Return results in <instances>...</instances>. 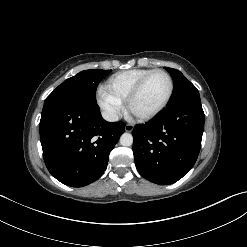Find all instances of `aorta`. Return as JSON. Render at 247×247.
<instances>
[{"mask_svg":"<svg viewBox=\"0 0 247 247\" xmlns=\"http://www.w3.org/2000/svg\"><path fill=\"white\" fill-rule=\"evenodd\" d=\"M120 144L123 146H131L133 144V136L130 133H123L120 137Z\"/></svg>","mask_w":247,"mask_h":247,"instance_id":"aorta-1","label":"aorta"}]
</instances>
